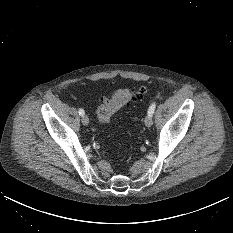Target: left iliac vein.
Returning a JSON list of instances; mask_svg holds the SVG:
<instances>
[{
  "instance_id": "4c4485c4",
  "label": "left iliac vein",
  "mask_w": 233,
  "mask_h": 233,
  "mask_svg": "<svg viewBox=\"0 0 233 233\" xmlns=\"http://www.w3.org/2000/svg\"><path fill=\"white\" fill-rule=\"evenodd\" d=\"M144 123H145V125H146L147 127L152 126V124H153L152 116L148 114V115L145 117Z\"/></svg>"
}]
</instances>
